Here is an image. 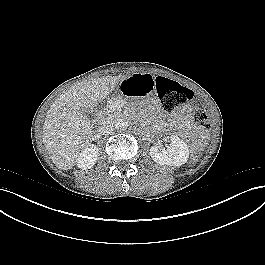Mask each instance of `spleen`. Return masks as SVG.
I'll list each match as a JSON object with an SVG mask.
<instances>
[{
    "label": "spleen",
    "mask_w": 265,
    "mask_h": 265,
    "mask_svg": "<svg viewBox=\"0 0 265 265\" xmlns=\"http://www.w3.org/2000/svg\"><path fill=\"white\" fill-rule=\"evenodd\" d=\"M198 159L196 157H193L192 162H196Z\"/></svg>",
    "instance_id": "spleen-1"
}]
</instances>
